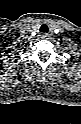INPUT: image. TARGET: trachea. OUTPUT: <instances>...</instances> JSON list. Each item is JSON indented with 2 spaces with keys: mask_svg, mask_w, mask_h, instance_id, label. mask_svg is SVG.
Segmentation results:
<instances>
[{
  "mask_svg": "<svg viewBox=\"0 0 81 124\" xmlns=\"http://www.w3.org/2000/svg\"><path fill=\"white\" fill-rule=\"evenodd\" d=\"M39 30H40L41 33H48L49 28L46 24H43V25H41Z\"/></svg>",
  "mask_w": 81,
  "mask_h": 124,
  "instance_id": "obj_1",
  "label": "trachea"
}]
</instances>
